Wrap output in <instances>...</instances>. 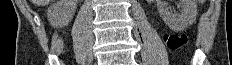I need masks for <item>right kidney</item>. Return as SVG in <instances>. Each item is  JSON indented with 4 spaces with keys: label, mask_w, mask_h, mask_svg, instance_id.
<instances>
[{
    "label": "right kidney",
    "mask_w": 232,
    "mask_h": 65,
    "mask_svg": "<svg viewBox=\"0 0 232 65\" xmlns=\"http://www.w3.org/2000/svg\"><path fill=\"white\" fill-rule=\"evenodd\" d=\"M77 0H58L48 9L47 17L53 27L68 25L75 13Z\"/></svg>",
    "instance_id": "1"
}]
</instances>
